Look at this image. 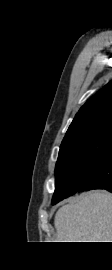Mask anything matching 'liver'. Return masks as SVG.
I'll return each instance as SVG.
<instances>
[{
  "label": "liver",
  "instance_id": "liver-1",
  "mask_svg": "<svg viewBox=\"0 0 112 270\" xmlns=\"http://www.w3.org/2000/svg\"><path fill=\"white\" fill-rule=\"evenodd\" d=\"M54 225L57 242H112V194L95 190L71 199Z\"/></svg>",
  "mask_w": 112,
  "mask_h": 270
}]
</instances>
